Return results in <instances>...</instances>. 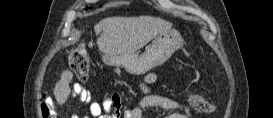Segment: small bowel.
Returning <instances> with one entry per match:
<instances>
[{
  "label": "small bowel",
  "instance_id": "obj_1",
  "mask_svg": "<svg viewBox=\"0 0 273 118\" xmlns=\"http://www.w3.org/2000/svg\"><path fill=\"white\" fill-rule=\"evenodd\" d=\"M156 75L147 77V84L153 83ZM142 97L137 103L129 109L123 111L124 118H141L142 109L145 107H158L166 111H171L165 118H190L191 110L188 106L158 93L153 92L147 85L141 86ZM193 93L187 95V101L194 108L191 100ZM73 96L77 97L82 103L88 106L87 118H104V112L108 118H120L122 105L120 96L113 94L111 97H105L102 100H94L90 92L79 84L73 88ZM199 96V95H197ZM201 99V96H199ZM205 100V99H204ZM176 111H181L178 113Z\"/></svg>",
  "mask_w": 273,
  "mask_h": 118
}]
</instances>
